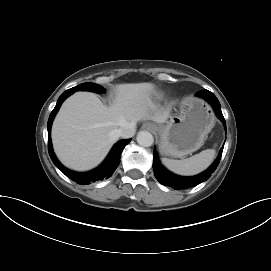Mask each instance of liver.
I'll use <instances>...</instances> for the list:
<instances>
[{"instance_id":"1","label":"liver","mask_w":271,"mask_h":271,"mask_svg":"<svg viewBox=\"0 0 271 271\" xmlns=\"http://www.w3.org/2000/svg\"><path fill=\"white\" fill-rule=\"evenodd\" d=\"M153 90L152 83L117 85L110 106L94 93H74L62 104L52 126L53 147L59 160L73 170L93 169L106 157L118 139L116 130L126 122L151 119L165 123L169 108L149 113Z\"/></svg>"}]
</instances>
